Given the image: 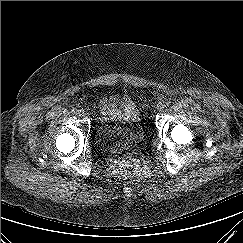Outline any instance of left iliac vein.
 <instances>
[{
  "instance_id": "obj_1",
  "label": "left iliac vein",
  "mask_w": 243,
  "mask_h": 243,
  "mask_svg": "<svg viewBox=\"0 0 243 243\" xmlns=\"http://www.w3.org/2000/svg\"><path fill=\"white\" fill-rule=\"evenodd\" d=\"M164 108H165V105H160V106H158V110H159V111L164 110Z\"/></svg>"
}]
</instances>
